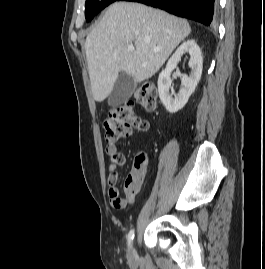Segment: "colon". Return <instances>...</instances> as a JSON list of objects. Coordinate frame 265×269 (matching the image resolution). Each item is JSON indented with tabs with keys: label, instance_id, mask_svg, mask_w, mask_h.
Returning a JSON list of instances; mask_svg holds the SVG:
<instances>
[{
	"label": "colon",
	"instance_id": "5ec220e1",
	"mask_svg": "<svg viewBox=\"0 0 265 269\" xmlns=\"http://www.w3.org/2000/svg\"><path fill=\"white\" fill-rule=\"evenodd\" d=\"M157 104V87L154 84H144L131 101L114 107L104 120L105 139L113 143L130 135L134 130L145 128V121L135 113L139 105L146 111H153Z\"/></svg>",
	"mask_w": 265,
	"mask_h": 269
}]
</instances>
